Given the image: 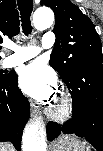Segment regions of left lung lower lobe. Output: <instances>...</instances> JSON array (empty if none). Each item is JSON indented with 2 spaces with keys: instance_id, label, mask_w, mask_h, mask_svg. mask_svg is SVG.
Here are the masks:
<instances>
[{
  "instance_id": "0a47b994",
  "label": "left lung lower lobe",
  "mask_w": 103,
  "mask_h": 151,
  "mask_svg": "<svg viewBox=\"0 0 103 151\" xmlns=\"http://www.w3.org/2000/svg\"><path fill=\"white\" fill-rule=\"evenodd\" d=\"M87 68L92 77L82 78L81 74L65 82L72 97V119L61 128L55 122L47 125V137L51 141L61 131L84 137L97 151H103V60H90Z\"/></svg>"
}]
</instances>
